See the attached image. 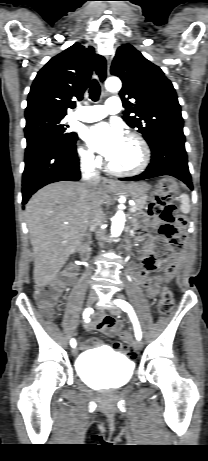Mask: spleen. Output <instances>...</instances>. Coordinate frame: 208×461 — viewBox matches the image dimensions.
I'll return each mask as SVG.
<instances>
[{"label":"spleen","instance_id":"3e777b00","mask_svg":"<svg viewBox=\"0 0 208 461\" xmlns=\"http://www.w3.org/2000/svg\"><path fill=\"white\" fill-rule=\"evenodd\" d=\"M189 197L188 195L184 194L181 196V206L180 209L184 214H187L190 212V205H189Z\"/></svg>","mask_w":208,"mask_h":461}]
</instances>
